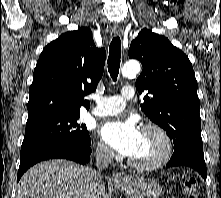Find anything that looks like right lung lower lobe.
Returning a JSON list of instances; mask_svg holds the SVG:
<instances>
[{
    "label": "right lung lower lobe",
    "instance_id": "right-lung-lower-lobe-1",
    "mask_svg": "<svg viewBox=\"0 0 221 198\" xmlns=\"http://www.w3.org/2000/svg\"><path fill=\"white\" fill-rule=\"evenodd\" d=\"M91 142L79 144L70 141H52L35 146L21 154V161L17 175V181L23 173L34 164L55 158L69 159L81 164L90 161Z\"/></svg>",
    "mask_w": 221,
    "mask_h": 198
}]
</instances>
